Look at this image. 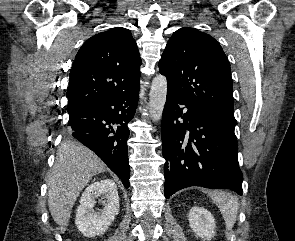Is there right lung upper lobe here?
Wrapping results in <instances>:
<instances>
[{
  "label": "right lung upper lobe",
  "instance_id": "1",
  "mask_svg": "<svg viewBox=\"0 0 295 241\" xmlns=\"http://www.w3.org/2000/svg\"><path fill=\"white\" fill-rule=\"evenodd\" d=\"M141 59L126 28H113L89 38L79 49L67 91L70 112L99 97L131 90L139 83Z\"/></svg>",
  "mask_w": 295,
  "mask_h": 241
}]
</instances>
